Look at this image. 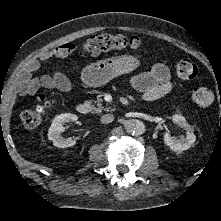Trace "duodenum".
Returning <instances> with one entry per match:
<instances>
[{
    "label": "duodenum",
    "instance_id": "1",
    "mask_svg": "<svg viewBox=\"0 0 221 221\" xmlns=\"http://www.w3.org/2000/svg\"><path fill=\"white\" fill-rule=\"evenodd\" d=\"M90 107L87 103H81L77 106L78 113L85 115L89 112Z\"/></svg>",
    "mask_w": 221,
    "mask_h": 221
}]
</instances>
